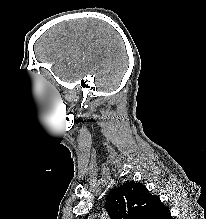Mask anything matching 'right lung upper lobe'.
I'll list each match as a JSON object with an SVG mask.
<instances>
[{
    "mask_svg": "<svg viewBox=\"0 0 206 219\" xmlns=\"http://www.w3.org/2000/svg\"><path fill=\"white\" fill-rule=\"evenodd\" d=\"M105 208L111 219H172L160 199L134 181L114 189L106 199Z\"/></svg>",
    "mask_w": 206,
    "mask_h": 219,
    "instance_id": "cb5924a9",
    "label": "right lung upper lobe"
}]
</instances>
